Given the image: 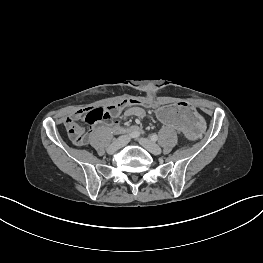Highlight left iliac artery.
Masks as SVG:
<instances>
[{
	"mask_svg": "<svg viewBox=\"0 0 263 263\" xmlns=\"http://www.w3.org/2000/svg\"><path fill=\"white\" fill-rule=\"evenodd\" d=\"M151 139H152L153 141H157L158 136H157L156 134H153V135L151 136Z\"/></svg>",
	"mask_w": 263,
	"mask_h": 263,
	"instance_id": "obj_1",
	"label": "left iliac artery"
}]
</instances>
